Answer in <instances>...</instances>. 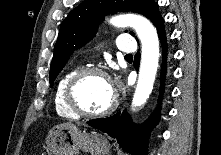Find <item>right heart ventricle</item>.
Returning <instances> with one entry per match:
<instances>
[{
    "instance_id": "1",
    "label": "right heart ventricle",
    "mask_w": 221,
    "mask_h": 155,
    "mask_svg": "<svg viewBox=\"0 0 221 155\" xmlns=\"http://www.w3.org/2000/svg\"><path fill=\"white\" fill-rule=\"evenodd\" d=\"M77 71H78L77 68L68 70L66 73L62 75V77L59 79L56 85V89L54 93L55 110L58 115L65 117V118H71V119L78 118V115L72 112L67 107L64 101V90H65L66 84L69 81V79L73 76V74Z\"/></svg>"
}]
</instances>
